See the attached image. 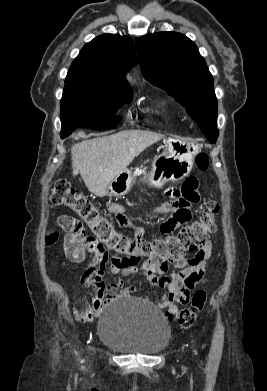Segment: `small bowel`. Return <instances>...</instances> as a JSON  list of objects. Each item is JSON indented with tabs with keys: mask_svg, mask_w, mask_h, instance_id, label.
<instances>
[{
	"mask_svg": "<svg viewBox=\"0 0 267 391\" xmlns=\"http://www.w3.org/2000/svg\"><path fill=\"white\" fill-rule=\"evenodd\" d=\"M166 193L171 200L159 208L161 213L168 215L160 226L163 236L171 235L176 228L192 222V206L200 199L198 182L194 177L187 178L180 188H169ZM107 210L115 216L118 225L132 226L120 204L110 202L107 204ZM58 224L66 233L63 241L66 257L72 262L82 261L88 252L85 247L87 234L82 223L71 216L61 215ZM134 230L136 238L142 239V230L138 227H134ZM212 248L213 243L209 240L194 256L175 262H165L155 269L145 265L127 266L116 256L94 253L82 278V285L91 291L90 304L87 308H76L75 318L80 322H89L107 303L120 296L134 294L135 288L123 282L106 285L103 279L106 271L112 274L137 273L144 276L153 286L165 290L166 294L161 299H151L160 307H165L172 302L187 303L191 291L205 282L206 261L211 255ZM172 267L177 268V271L170 273Z\"/></svg>",
	"mask_w": 267,
	"mask_h": 391,
	"instance_id": "obj_1",
	"label": "small bowel"
}]
</instances>
